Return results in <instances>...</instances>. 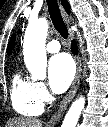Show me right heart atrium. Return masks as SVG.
<instances>
[{
	"instance_id": "right-heart-atrium-1",
	"label": "right heart atrium",
	"mask_w": 108,
	"mask_h": 127,
	"mask_svg": "<svg viewBox=\"0 0 108 127\" xmlns=\"http://www.w3.org/2000/svg\"><path fill=\"white\" fill-rule=\"evenodd\" d=\"M34 86L36 96L41 103H45L50 100L51 94L43 82H34Z\"/></svg>"
}]
</instances>
